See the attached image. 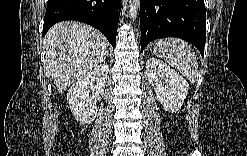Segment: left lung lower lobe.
Returning a JSON list of instances; mask_svg holds the SVG:
<instances>
[{
  "label": "left lung lower lobe",
  "mask_w": 247,
  "mask_h": 156,
  "mask_svg": "<svg viewBox=\"0 0 247 156\" xmlns=\"http://www.w3.org/2000/svg\"><path fill=\"white\" fill-rule=\"evenodd\" d=\"M141 50L151 41L177 37L204 55L206 11L204 0H141Z\"/></svg>",
  "instance_id": "left-lung-lower-lobe-1"
}]
</instances>
